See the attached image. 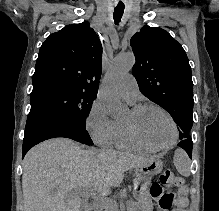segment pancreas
I'll return each instance as SVG.
<instances>
[{
	"instance_id": "obj_1",
	"label": "pancreas",
	"mask_w": 219,
	"mask_h": 211,
	"mask_svg": "<svg viewBox=\"0 0 219 211\" xmlns=\"http://www.w3.org/2000/svg\"><path fill=\"white\" fill-rule=\"evenodd\" d=\"M121 205H126V211H138L141 207L140 202H135V200H121L118 202ZM105 209L107 211H117V207H115L114 203L111 205H106Z\"/></svg>"
}]
</instances>
